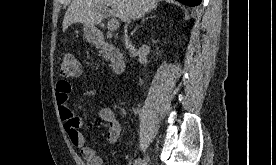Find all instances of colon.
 I'll use <instances>...</instances> for the list:
<instances>
[{"instance_id":"5ec220e1","label":"colon","mask_w":276,"mask_h":165,"mask_svg":"<svg viewBox=\"0 0 276 165\" xmlns=\"http://www.w3.org/2000/svg\"><path fill=\"white\" fill-rule=\"evenodd\" d=\"M80 71L81 64L72 54H65L62 57L60 62V75L62 77H76L80 74Z\"/></svg>"}]
</instances>
